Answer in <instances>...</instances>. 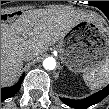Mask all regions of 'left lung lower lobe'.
I'll return each mask as SVG.
<instances>
[{"label": "left lung lower lobe", "instance_id": "left-lung-lower-lobe-1", "mask_svg": "<svg viewBox=\"0 0 109 109\" xmlns=\"http://www.w3.org/2000/svg\"><path fill=\"white\" fill-rule=\"evenodd\" d=\"M109 94V85L105 87L103 90L94 93L93 95L81 99V100H71L67 98H61L62 102L70 107L76 108V109H85L88 108L94 104L99 103L101 100H103L107 95Z\"/></svg>", "mask_w": 109, "mask_h": 109}]
</instances>
